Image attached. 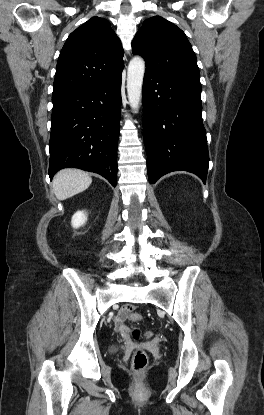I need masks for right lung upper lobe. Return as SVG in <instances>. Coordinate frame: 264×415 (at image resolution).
I'll list each match as a JSON object with an SVG mask.
<instances>
[{"label":"right lung upper lobe","instance_id":"obj_1","mask_svg":"<svg viewBox=\"0 0 264 415\" xmlns=\"http://www.w3.org/2000/svg\"><path fill=\"white\" fill-rule=\"evenodd\" d=\"M123 48L108 20L93 17L73 31L56 67L53 95H58L122 74Z\"/></svg>","mask_w":264,"mask_h":415}]
</instances>
